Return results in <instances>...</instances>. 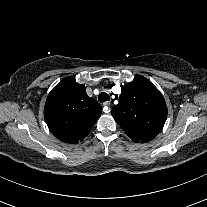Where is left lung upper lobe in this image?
I'll use <instances>...</instances> for the list:
<instances>
[{
  "label": "left lung upper lobe",
  "instance_id": "1",
  "mask_svg": "<svg viewBox=\"0 0 207 207\" xmlns=\"http://www.w3.org/2000/svg\"><path fill=\"white\" fill-rule=\"evenodd\" d=\"M121 91L119 103L112 110L115 121L134 142L152 140L162 130L167 118L163 96L141 75H135Z\"/></svg>",
  "mask_w": 207,
  "mask_h": 207
}]
</instances>
